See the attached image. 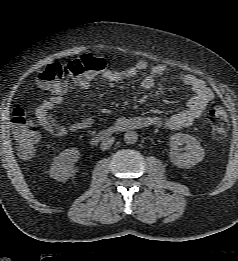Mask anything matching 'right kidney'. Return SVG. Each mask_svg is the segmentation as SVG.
I'll list each match as a JSON object with an SVG mask.
<instances>
[{
	"mask_svg": "<svg viewBox=\"0 0 238 261\" xmlns=\"http://www.w3.org/2000/svg\"><path fill=\"white\" fill-rule=\"evenodd\" d=\"M80 152L75 148L62 151L53 161L50 176L60 182L67 181L74 173V164L79 160Z\"/></svg>",
	"mask_w": 238,
	"mask_h": 261,
	"instance_id": "obj_1",
	"label": "right kidney"
}]
</instances>
